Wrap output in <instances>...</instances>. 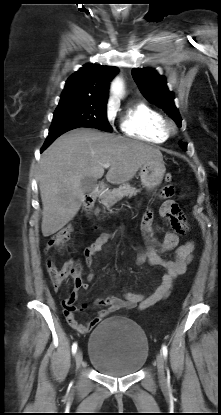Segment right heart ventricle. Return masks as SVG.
Returning <instances> with one entry per match:
<instances>
[{"label":"right heart ventricle","mask_w":221,"mask_h":415,"mask_svg":"<svg viewBox=\"0 0 221 415\" xmlns=\"http://www.w3.org/2000/svg\"><path fill=\"white\" fill-rule=\"evenodd\" d=\"M164 116L153 107L144 102L130 105L120 121L121 132L133 139L149 142L163 143L169 134L163 127Z\"/></svg>","instance_id":"obj_1"}]
</instances>
